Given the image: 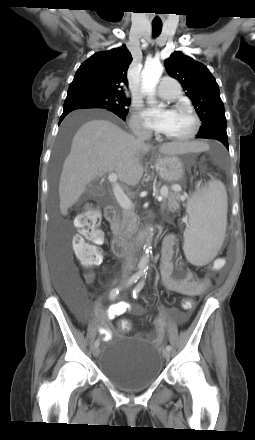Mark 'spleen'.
<instances>
[{
	"label": "spleen",
	"instance_id": "1",
	"mask_svg": "<svg viewBox=\"0 0 255 440\" xmlns=\"http://www.w3.org/2000/svg\"><path fill=\"white\" fill-rule=\"evenodd\" d=\"M227 207L226 189L219 181H210L189 200V227L184 232L183 249L192 264H207L221 248L227 225Z\"/></svg>",
	"mask_w": 255,
	"mask_h": 440
}]
</instances>
